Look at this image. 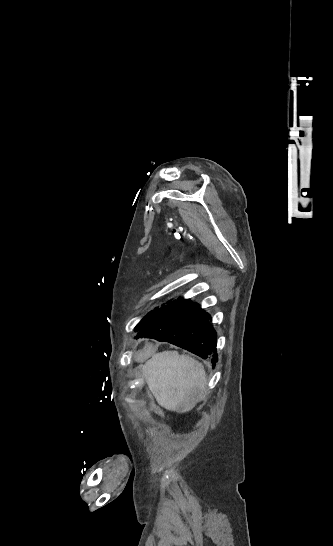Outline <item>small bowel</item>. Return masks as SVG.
I'll use <instances>...</instances> for the list:
<instances>
[{
    "label": "small bowel",
    "mask_w": 333,
    "mask_h": 546,
    "mask_svg": "<svg viewBox=\"0 0 333 546\" xmlns=\"http://www.w3.org/2000/svg\"><path fill=\"white\" fill-rule=\"evenodd\" d=\"M151 345H145L142 348V353L137 355V360L139 361H149L151 359V356H153L156 353V348L154 345L156 344L154 341L150 343Z\"/></svg>",
    "instance_id": "c3829d8e"
}]
</instances>
